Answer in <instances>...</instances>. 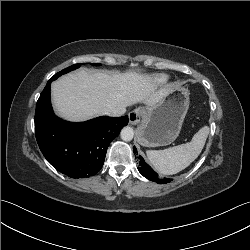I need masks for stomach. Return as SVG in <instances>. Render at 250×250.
<instances>
[{
  "label": "stomach",
  "mask_w": 250,
  "mask_h": 250,
  "mask_svg": "<svg viewBox=\"0 0 250 250\" xmlns=\"http://www.w3.org/2000/svg\"><path fill=\"white\" fill-rule=\"evenodd\" d=\"M189 103L188 90L175 87L159 103L147 107L137 129V141L146 147L171 144L179 136Z\"/></svg>",
  "instance_id": "0dacf381"
}]
</instances>
